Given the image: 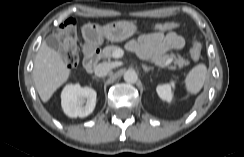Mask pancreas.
<instances>
[{"instance_id": "cf45deb5", "label": "pancreas", "mask_w": 244, "mask_h": 157, "mask_svg": "<svg viewBox=\"0 0 244 157\" xmlns=\"http://www.w3.org/2000/svg\"><path fill=\"white\" fill-rule=\"evenodd\" d=\"M120 49L119 46L116 45H108L106 46L103 51H102V56L105 58L110 59L112 57V54L115 50ZM174 60V64L179 66L180 68L189 65V61L183 59L181 56L176 57L174 54H158V53H154L151 57H150V61L155 63L156 65L160 66V67H165L167 66L166 63L171 62Z\"/></svg>"}]
</instances>
